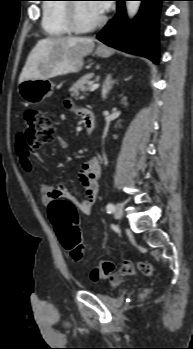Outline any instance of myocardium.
<instances>
[{
    "instance_id": "f54148a6",
    "label": "myocardium",
    "mask_w": 193,
    "mask_h": 349,
    "mask_svg": "<svg viewBox=\"0 0 193 349\" xmlns=\"http://www.w3.org/2000/svg\"><path fill=\"white\" fill-rule=\"evenodd\" d=\"M65 20L69 30L76 34L90 32L104 23V17L100 16L87 25H82L78 18V2H71L66 5Z\"/></svg>"
}]
</instances>
